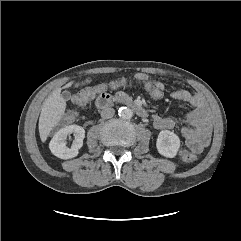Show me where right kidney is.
I'll use <instances>...</instances> for the list:
<instances>
[{
	"mask_svg": "<svg viewBox=\"0 0 241 241\" xmlns=\"http://www.w3.org/2000/svg\"><path fill=\"white\" fill-rule=\"evenodd\" d=\"M73 134L75 141L69 148L66 145L65 139L68 135ZM85 137V130L78 125H69L60 129L52 138L49 143L51 152L58 158L70 159L76 157L79 153V149L83 145V139Z\"/></svg>",
	"mask_w": 241,
	"mask_h": 241,
	"instance_id": "obj_1",
	"label": "right kidney"
}]
</instances>
